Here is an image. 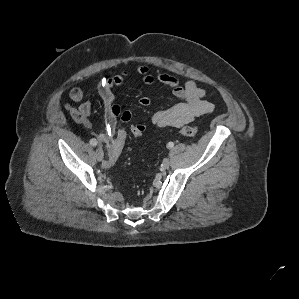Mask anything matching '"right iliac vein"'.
Masks as SVG:
<instances>
[{
    "mask_svg": "<svg viewBox=\"0 0 299 299\" xmlns=\"http://www.w3.org/2000/svg\"><path fill=\"white\" fill-rule=\"evenodd\" d=\"M104 157V153L101 148H97L96 150V158L98 161H102Z\"/></svg>",
    "mask_w": 299,
    "mask_h": 299,
    "instance_id": "63e3f726",
    "label": "right iliac vein"
}]
</instances>
